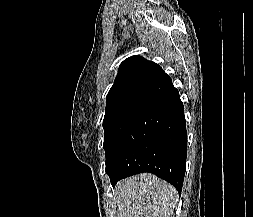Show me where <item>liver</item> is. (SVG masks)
<instances>
[{"label": "liver", "mask_w": 253, "mask_h": 217, "mask_svg": "<svg viewBox=\"0 0 253 217\" xmlns=\"http://www.w3.org/2000/svg\"><path fill=\"white\" fill-rule=\"evenodd\" d=\"M118 217H173L178 201L176 189L150 173L117 183Z\"/></svg>", "instance_id": "obj_1"}]
</instances>
